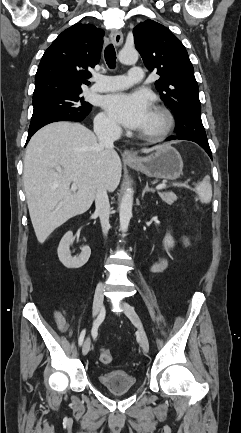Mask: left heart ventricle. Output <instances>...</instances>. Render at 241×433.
<instances>
[{
    "mask_svg": "<svg viewBox=\"0 0 241 433\" xmlns=\"http://www.w3.org/2000/svg\"><path fill=\"white\" fill-rule=\"evenodd\" d=\"M160 126H161L160 119L153 112H151L149 121L143 130L157 129Z\"/></svg>",
    "mask_w": 241,
    "mask_h": 433,
    "instance_id": "obj_1",
    "label": "left heart ventricle"
}]
</instances>
